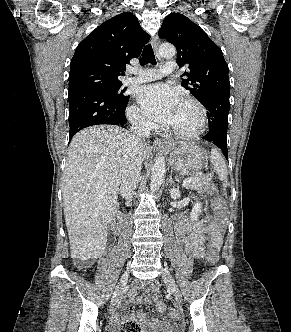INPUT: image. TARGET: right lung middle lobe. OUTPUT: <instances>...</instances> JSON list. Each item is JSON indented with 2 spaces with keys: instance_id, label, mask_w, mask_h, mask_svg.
Returning <instances> with one entry per match:
<instances>
[{
  "instance_id": "dd1d6c3e",
  "label": "right lung middle lobe",
  "mask_w": 291,
  "mask_h": 332,
  "mask_svg": "<svg viewBox=\"0 0 291 332\" xmlns=\"http://www.w3.org/2000/svg\"><path fill=\"white\" fill-rule=\"evenodd\" d=\"M122 83H108L105 81L95 82L90 88H97L111 96L117 102L123 103L129 99V96L124 94L125 89L121 88Z\"/></svg>"
}]
</instances>
